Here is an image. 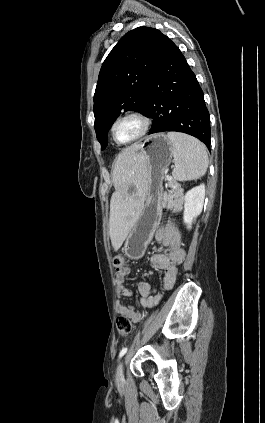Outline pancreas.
I'll use <instances>...</instances> for the list:
<instances>
[{"label":"pancreas","instance_id":"1","mask_svg":"<svg viewBox=\"0 0 265 423\" xmlns=\"http://www.w3.org/2000/svg\"><path fill=\"white\" fill-rule=\"evenodd\" d=\"M169 186L173 188V191H170L169 193L165 192L163 194L162 206L164 208H169L175 211V210H178L181 206L182 192L180 187L174 182H170Z\"/></svg>","mask_w":265,"mask_h":423}]
</instances>
